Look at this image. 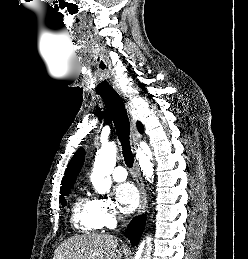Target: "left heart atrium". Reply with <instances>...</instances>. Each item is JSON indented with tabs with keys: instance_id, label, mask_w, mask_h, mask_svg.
Returning a JSON list of instances; mask_svg holds the SVG:
<instances>
[{
	"instance_id": "left-heart-atrium-1",
	"label": "left heart atrium",
	"mask_w": 248,
	"mask_h": 259,
	"mask_svg": "<svg viewBox=\"0 0 248 259\" xmlns=\"http://www.w3.org/2000/svg\"><path fill=\"white\" fill-rule=\"evenodd\" d=\"M115 196L119 207L126 214L132 213L139 203L138 191L131 183L118 185L115 189Z\"/></svg>"
}]
</instances>
